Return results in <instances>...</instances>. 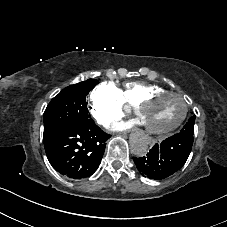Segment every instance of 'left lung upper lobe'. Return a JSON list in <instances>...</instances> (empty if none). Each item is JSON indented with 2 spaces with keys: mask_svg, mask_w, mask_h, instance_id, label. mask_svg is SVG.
I'll return each mask as SVG.
<instances>
[{
  "mask_svg": "<svg viewBox=\"0 0 227 227\" xmlns=\"http://www.w3.org/2000/svg\"><path fill=\"white\" fill-rule=\"evenodd\" d=\"M194 123H195V116L188 119V122L180 130L179 134L193 136L194 135Z\"/></svg>",
  "mask_w": 227,
  "mask_h": 227,
  "instance_id": "left-lung-upper-lobe-1",
  "label": "left lung upper lobe"
}]
</instances>
